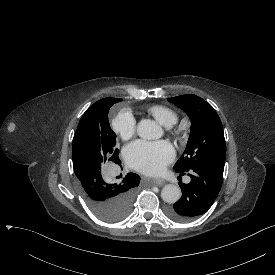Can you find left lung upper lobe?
I'll return each instance as SVG.
<instances>
[{
    "label": "left lung upper lobe",
    "mask_w": 275,
    "mask_h": 275,
    "mask_svg": "<svg viewBox=\"0 0 275 275\" xmlns=\"http://www.w3.org/2000/svg\"><path fill=\"white\" fill-rule=\"evenodd\" d=\"M168 101L183 109L191 120L186 149L174 170L188 172L203 166L224 169L226 144L222 123L214 108L193 94L169 98Z\"/></svg>",
    "instance_id": "1"
}]
</instances>
